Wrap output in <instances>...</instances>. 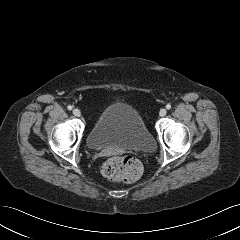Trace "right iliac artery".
<instances>
[{"mask_svg": "<svg viewBox=\"0 0 240 240\" xmlns=\"http://www.w3.org/2000/svg\"><path fill=\"white\" fill-rule=\"evenodd\" d=\"M72 108H73V107H72L71 105H69V106L67 107L68 110H72Z\"/></svg>", "mask_w": 240, "mask_h": 240, "instance_id": "82829eb1", "label": "right iliac artery"}]
</instances>
